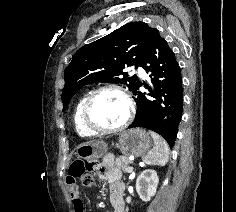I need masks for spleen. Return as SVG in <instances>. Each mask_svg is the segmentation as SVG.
<instances>
[{
	"label": "spleen",
	"instance_id": "3e777b00",
	"mask_svg": "<svg viewBox=\"0 0 236 212\" xmlns=\"http://www.w3.org/2000/svg\"><path fill=\"white\" fill-rule=\"evenodd\" d=\"M150 134L153 138L154 146L152 150L142 157V160L147 165L165 166L168 162L169 146L157 133L151 131Z\"/></svg>",
	"mask_w": 236,
	"mask_h": 212
}]
</instances>
